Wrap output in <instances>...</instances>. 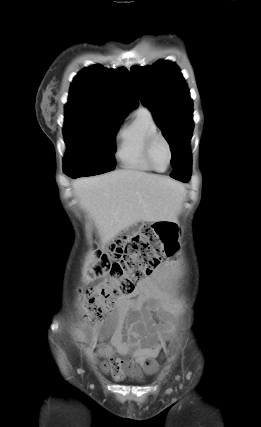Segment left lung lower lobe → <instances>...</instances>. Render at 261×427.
Segmentation results:
<instances>
[{
	"label": "left lung lower lobe",
	"instance_id": "0a47b994",
	"mask_svg": "<svg viewBox=\"0 0 261 427\" xmlns=\"http://www.w3.org/2000/svg\"><path fill=\"white\" fill-rule=\"evenodd\" d=\"M174 179L182 182H187L191 176V154L187 148L185 151L184 158L182 159L179 166L174 168V171L170 174Z\"/></svg>",
	"mask_w": 261,
	"mask_h": 427
}]
</instances>
